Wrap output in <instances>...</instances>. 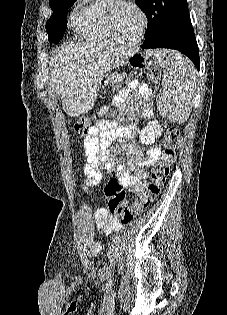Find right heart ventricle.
<instances>
[{
  "label": "right heart ventricle",
  "instance_id": "right-heart-ventricle-1",
  "mask_svg": "<svg viewBox=\"0 0 227 315\" xmlns=\"http://www.w3.org/2000/svg\"><path fill=\"white\" fill-rule=\"evenodd\" d=\"M110 0H85L71 16L76 33L91 43H110L104 23L105 9Z\"/></svg>",
  "mask_w": 227,
  "mask_h": 315
}]
</instances>
